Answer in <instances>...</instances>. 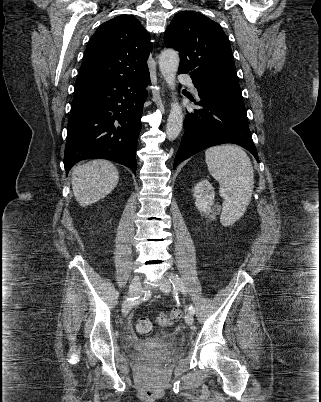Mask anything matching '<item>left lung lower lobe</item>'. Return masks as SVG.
<instances>
[{"label":"left lung lower lobe","mask_w":321,"mask_h":402,"mask_svg":"<svg viewBox=\"0 0 321 402\" xmlns=\"http://www.w3.org/2000/svg\"><path fill=\"white\" fill-rule=\"evenodd\" d=\"M201 109L188 113L186 129L175 157L174 168L208 147L233 143L247 149L259 162L248 127L240 86L207 83L195 85Z\"/></svg>","instance_id":"obj_1"}]
</instances>
